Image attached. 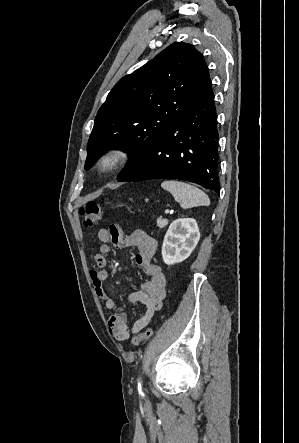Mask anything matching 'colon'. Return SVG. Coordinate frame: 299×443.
<instances>
[{
	"label": "colon",
	"mask_w": 299,
	"mask_h": 443,
	"mask_svg": "<svg viewBox=\"0 0 299 443\" xmlns=\"http://www.w3.org/2000/svg\"><path fill=\"white\" fill-rule=\"evenodd\" d=\"M80 213L83 217V223L86 227H92L97 225L101 216L102 208L96 202H87L80 208ZM152 329L147 328L141 333L135 335L132 338V345L135 347L140 346L144 341L148 340L152 336Z\"/></svg>",
	"instance_id": "colon-1"
}]
</instances>
